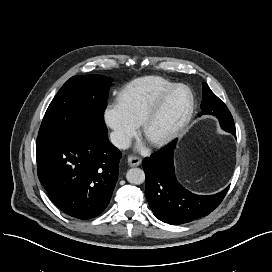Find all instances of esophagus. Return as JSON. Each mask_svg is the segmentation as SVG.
I'll use <instances>...</instances> for the list:
<instances>
[{
	"label": "esophagus",
	"mask_w": 272,
	"mask_h": 272,
	"mask_svg": "<svg viewBox=\"0 0 272 272\" xmlns=\"http://www.w3.org/2000/svg\"><path fill=\"white\" fill-rule=\"evenodd\" d=\"M128 164L133 167V166H139L142 162L141 158L137 157V156H129L128 159Z\"/></svg>",
	"instance_id": "1"
}]
</instances>
